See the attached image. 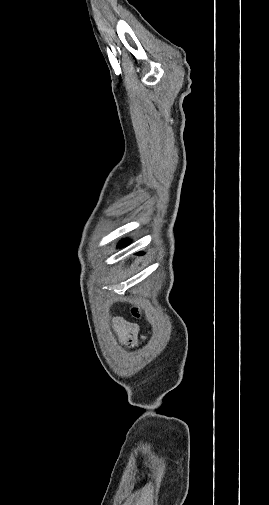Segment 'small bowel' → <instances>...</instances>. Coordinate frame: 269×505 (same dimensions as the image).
Instances as JSON below:
<instances>
[{
  "mask_svg": "<svg viewBox=\"0 0 269 505\" xmlns=\"http://www.w3.org/2000/svg\"><path fill=\"white\" fill-rule=\"evenodd\" d=\"M115 328L121 339L125 342L137 343L138 327L122 318L115 319Z\"/></svg>",
  "mask_w": 269,
  "mask_h": 505,
  "instance_id": "c3829d8e",
  "label": "small bowel"
}]
</instances>
